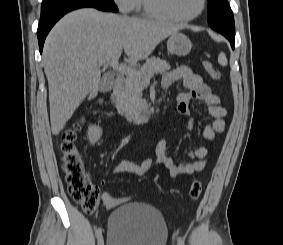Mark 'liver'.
Instances as JSON below:
<instances>
[{
    "label": "liver",
    "instance_id": "1",
    "mask_svg": "<svg viewBox=\"0 0 283 245\" xmlns=\"http://www.w3.org/2000/svg\"><path fill=\"white\" fill-rule=\"evenodd\" d=\"M178 26L87 8L65 15L46 38L42 60L49 86L52 134L58 135L86 98L97 96L101 66L121 55L146 59Z\"/></svg>",
    "mask_w": 283,
    "mask_h": 245
}]
</instances>
